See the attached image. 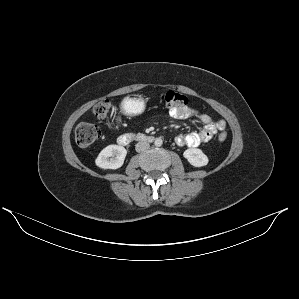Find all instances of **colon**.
Returning a JSON list of instances; mask_svg holds the SVG:
<instances>
[{
    "instance_id": "colon-1",
    "label": "colon",
    "mask_w": 299,
    "mask_h": 299,
    "mask_svg": "<svg viewBox=\"0 0 299 299\" xmlns=\"http://www.w3.org/2000/svg\"><path fill=\"white\" fill-rule=\"evenodd\" d=\"M160 102L166 108L182 107L186 106L188 99L185 95L168 90L160 95ZM111 109V103L108 99H102L98 101L92 108V113L95 118L99 120H104L108 117ZM100 137L99 128L92 123H81L75 129V140L78 145L82 147H87L94 144ZM219 141H225L227 139V134L221 132L218 135Z\"/></svg>"
}]
</instances>
